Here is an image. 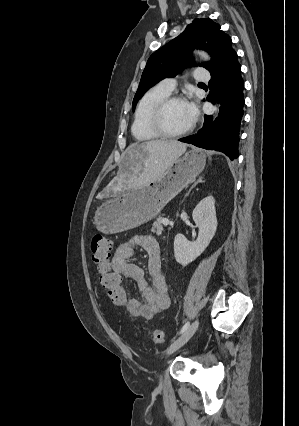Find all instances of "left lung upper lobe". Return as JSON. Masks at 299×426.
<instances>
[{
    "label": "left lung upper lobe",
    "instance_id": "left-lung-upper-lobe-1",
    "mask_svg": "<svg viewBox=\"0 0 299 426\" xmlns=\"http://www.w3.org/2000/svg\"><path fill=\"white\" fill-rule=\"evenodd\" d=\"M220 25L210 18L194 19L175 39L158 49L148 59L133 99V110L142 95L167 77H174L184 68L194 65L190 51L194 48L209 52L212 61L201 64L211 70L217 61L232 51L230 36L220 30Z\"/></svg>",
    "mask_w": 299,
    "mask_h": 426
}]
</instances>
